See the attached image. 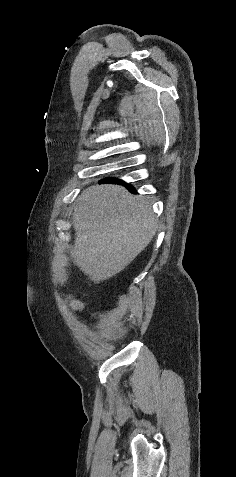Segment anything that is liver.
Masks as SVG:
<instances>
[{"instance_id":"obj_1","label":"liver","mask_w":236,"mask_h":477,"mask_svg":"<svg viewBox=\"0 0 236 477\" xmlns=\"http://www.w3.org/2000/svg\"><path fill=\"white\" fill-rule=\"evenodd\" d=\"M70 256L99 283L127 267L151 242L157 220L151 204L118 185H94L76 200Z\"/></svg>"}]
</instances>
